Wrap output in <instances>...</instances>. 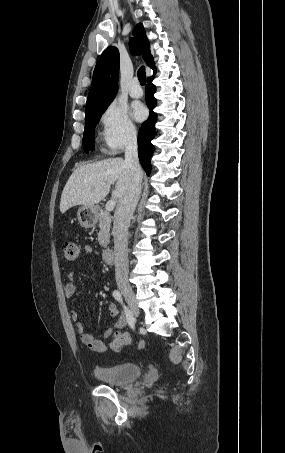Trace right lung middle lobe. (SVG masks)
Returning <instances> with one entry per match:
<instances>
[{
  "label": "right lung middle lobe",
  "mask_w": 285,
  "mask_h": 453,
  "mask_svg": "<svg viewBox=\"0 0 285 453\" xmlns=\"http://www.w3.org/2000/svg\"><path fill=\"white\" fill-rule=\"evenodd\" d=\"M107 107L99 109L86 114L85 116V131L83 136V147L87 153L89 150L94 149V128L98 123L101 114L106 110Z\"/></svg>",
  "instance_id": "dd1d6c3e"
}]
</instances>
